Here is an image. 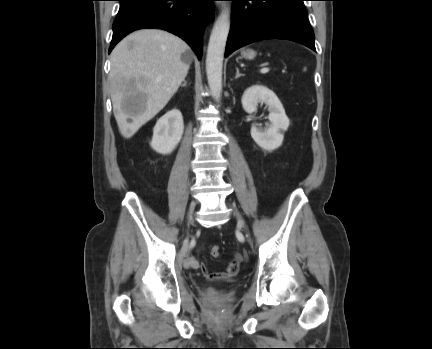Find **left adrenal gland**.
<instances>
[{
    "mask_svg": "<svg viewBox=\"0 0 432 349\" xmlns=\"http://www.w3.org/2000/svg\"><path fill=\"white\" fill-rule=\"evenodd\" d=\"M241 76H243V74H241V73L239 72V68H236V76H235V79H238V78L241 77Z\"/></svg>",
    "mask_w": 432,
    "mask_h": 349,
    "instance_id": "obj_1",
    "label": "left adrenal gland"
}]
</instances>
